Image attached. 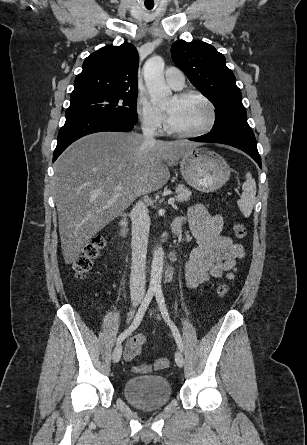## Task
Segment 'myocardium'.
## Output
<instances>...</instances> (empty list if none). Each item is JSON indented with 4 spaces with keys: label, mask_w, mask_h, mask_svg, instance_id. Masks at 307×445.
Here are the masks:
<instances>
[{
    "label": "myocardium",
    "mask_w": 307,
    "mask_h": 445,
    "mask_svg": "<svg viewBox=\"0 0 307 445\" xmlns=\"http://www.w3.org/2000/svg\"><path fill=\"white\" fill-rule=\"evenodd\" d=\"M177 98L180 99H190V98H196L198 100H200L201 102H203L209 109L210 112V119L208 124L201 128L200 130L194 131V132H184V131H180L176 128H174L169 119L168 116H166V130L170 133V134H174L180 137H184V138H190V139H200L201 137L209 134L211 131H213L215 129V127L217 126L218 123V119H219V114H218V110L216 105L208 98L206 97L204 94L198 92V91H194V90H188V91H183L180 92L176 95Z\"/></svg>",
    "instance_id": "1"
}]
</instances>
